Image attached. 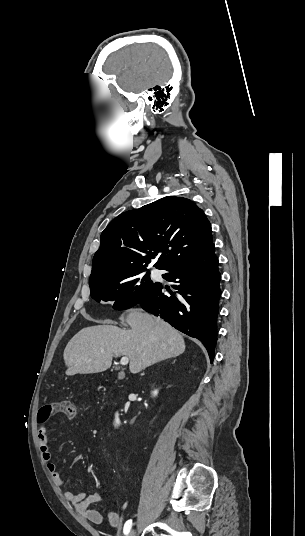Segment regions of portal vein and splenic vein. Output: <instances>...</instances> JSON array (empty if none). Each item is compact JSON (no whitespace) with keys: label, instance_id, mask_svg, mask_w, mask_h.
<instances>
[{"label":"portal vein and splenic vein","instance_id":"obj_1","mask_svg":"<svg viewBox=\"0 0 305 536\" xmlns=\"http://www.w3.org/2000/svg\"><path fill=\"white\" fill-rule=\"evenodd\" d=\"M128 362H129V358H126V356H124V358H121L120 360V364H122V366H126Z\"/></svg>","mask_w":305,"mask_h":536}]
</instances>
